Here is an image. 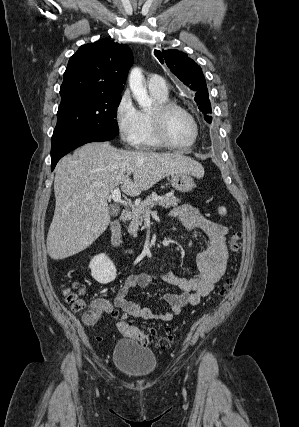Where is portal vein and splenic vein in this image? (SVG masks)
Returning <instances> with one entry per match:
<instances>
[{
    "label": "portal vein and splenic vein",
    "mask_w": 299,
    "mask_h": 427,
    "mask_svg": "<svg viewBox=\"0 0 299 427\" xmlns=\"http://www.w3.org/2000/svg\"><path fill=\"white\" fill-rule=\"evenodd\" d=\"M111 198H112V200L114 201V202H116V203H120V204H122V205H125V206H127V205H129V206H132V204H131V202L130 201H125V200H122L121 199V192H120V189L119 188H115L112 192H111ZM160 199H162V198H155V200H160ZM150 213V212H149Z\"/></svg>",
    "instance_id": "portal-vein-and-splenic-vein-1"
}]
</instances>
